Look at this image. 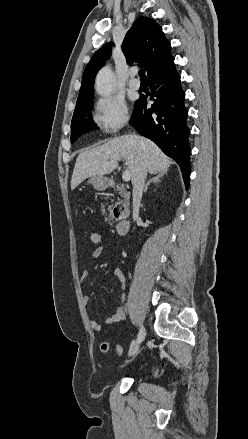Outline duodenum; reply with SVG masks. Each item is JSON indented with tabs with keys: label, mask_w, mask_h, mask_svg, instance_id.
I'll list each match as a JSON object with an SVG mask.
<instances>
[{
	"label": "duodenum",
	"mask_w": 248,
	"mask_h": 439,
	"mask_svg": "<svg viewBox=\"0 0 248 439\" xmlns=\"http://www.w3.org/2000/svg\"><path fill=\"white\" fill-rule=\"evenodd\" d=\"M115 217L118 219L116 224V231L119 235L126 233L129 229L130 223L128 220V212L123 206H116L114 208Z\"/></svg>",
	"instance_id": "duodenum-1"
}]
</instances>
